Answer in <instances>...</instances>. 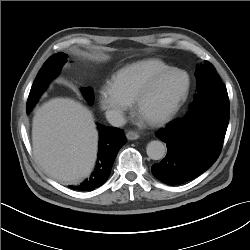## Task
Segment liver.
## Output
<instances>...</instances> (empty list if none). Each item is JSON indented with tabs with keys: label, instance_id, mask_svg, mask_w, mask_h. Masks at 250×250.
<instances>
[{
	"label": "liver",
	"instance_id": "liver-1",
	"mask_svg": "<svg viewBox=\"0 0 250 250\" xmlns=\"http://www.w3.org/2000/svg\"><path fill=\"white\" fill-rule=\"evenodd\" d=\"M33 151L55 180L74 184L90 175L97 155L93 115L70 98H53L39 107L32 122Z\"/></svg>",
	"mask_w": 250,
	"mask_h": 250
}]
</instances>
